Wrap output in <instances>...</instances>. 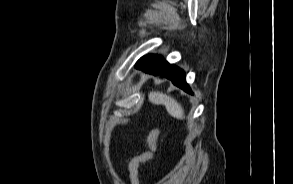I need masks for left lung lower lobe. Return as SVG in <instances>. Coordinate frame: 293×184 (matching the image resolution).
I'll return each instance as SVG.
<instances>
[{"label":"left lung lower lobe","mask_w":293,"mask_h":184,"mask_svg":"<svg viewBox=\"0 0 293 184\" xmlns=\"http://www.w3.org/2000/svg\"><path fill=\"white\" fill-rule=\"evenodd\" d=\"M137 69H141L146 73L161 75L170 79L174 85L181 88L185 92L192 94V91L186 83L185 73L178 67L169 64L161 56L150 55L143 58L136 64Z\"/></svg>","instance_id":"obj_1"}]
</instances>
